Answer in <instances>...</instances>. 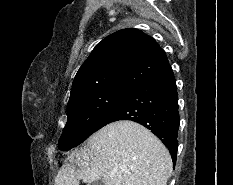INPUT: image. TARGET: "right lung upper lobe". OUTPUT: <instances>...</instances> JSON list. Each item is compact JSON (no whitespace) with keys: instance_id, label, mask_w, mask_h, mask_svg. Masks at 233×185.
<instances>
[{"instance_id":"cb5924a9","label":"right lung upper lobe","mask_w":233,"mask_h":185,"mask_svg":"<svg viewBox=\"0 0 233 185\" xmlns=\"http://www.w3.org/2000/svg\"><path fill=\"white\" fill-rule=\"evenodd\" d=\"M169 66L164 51L138 29L117 31L96 45L78 70L70 99L107 87L133 89Z\"/></svg>"}]
</instances>
